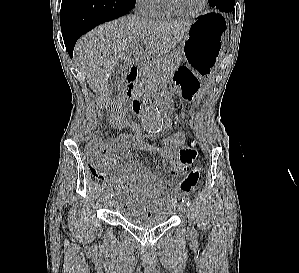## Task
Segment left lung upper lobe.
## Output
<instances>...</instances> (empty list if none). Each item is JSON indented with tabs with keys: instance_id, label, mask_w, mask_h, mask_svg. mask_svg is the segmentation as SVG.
<instances>
[{
	"instance_id": "1",
	"label": "left lung upper lobe",
	"mask_w": 299,
	"mask_h": 273,
	"mask_svg": "<svg viewBox=\"0 0 299 273\" xmlns=\"http://www.w3.org/2000/svg\"><path fill=\"white\" fill-rule=\"evenodd\" d=\"M211 7H214L220 0H208Z\"/></svg>"
}]
</instances>
